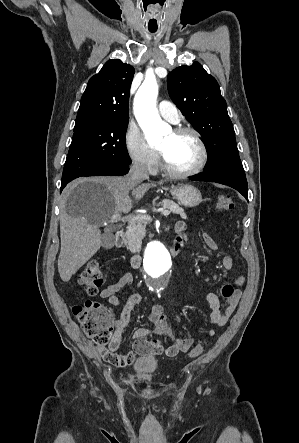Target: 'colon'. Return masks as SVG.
<instances>
[{"mask_svg":"<svg viewBox=\"0 0 299 443\" xmlns=\"http://www.w3.org/2000/svg\"><path fill=\"white\" fill-rule=\"evenodd\" d=\"M234 203L229 195H221L216 202V209L220 213H227L233 209ZM103 281V276L96 261L86 263L79 278V284L88 295H96ZM74 314L78 317L84 334L99 347L100 353L107 354L104 348L113 335L114 317L112 313L100 302L87 300L83 304L73 307ZM206 341L198 343L189 351V356H200L205 348Z\"/></svg>","mask_w":299,"mask_h":443,"instance_id":"colon-1","label":"colon"}]
</instances>
